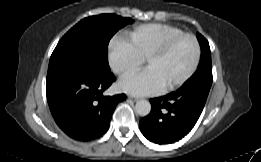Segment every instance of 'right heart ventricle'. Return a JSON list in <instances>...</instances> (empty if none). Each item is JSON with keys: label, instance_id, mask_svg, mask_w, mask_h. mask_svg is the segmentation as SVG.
<instances>
[{"label": "right heart ventricle", "instance_id": "e07e8e85", "mask_svg": "<svg viewBox=\"0 0 261 162\" xmlns=\"http://www.w3.org/2000/svg\"><path fill=\"white\" fill-rule=\"evenodd\" d=\"M183 31L173 25L149 23L134 27L127 32L129 42L136 53L145 59L147 55L168 38Z\"/></svg>", "mask_w": 261, "mask_h": 162}]
</instances>
